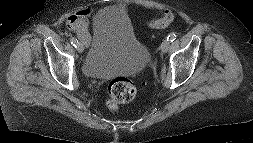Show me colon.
Here are the masks:
<instances>
[{
  "label": "colon",
  "mask_w": 253,
  "mask_h": 143,
  "mask_svg": "<svg viewBox=\"0 0 253 143\" xmlns=\"http://www.w3.org/2000/svg\"><path fill=\"white\" fill-rule=\"evenodd\" d=\"M158 24V21L150 23L152 27H156ZM108 95L109 107L114 108L118 104L132 101L136 95V88L129 79L119 77L110 82L108 86Z\"/></svg>",
  "instance_id": "colon-1"
}]
</instances>
